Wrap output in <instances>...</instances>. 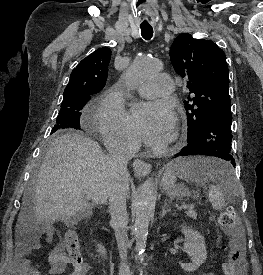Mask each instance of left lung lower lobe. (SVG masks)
I'll use <instances>...</instances> for the list:
<instances>
[{"instance_id":"obj_1","label":"left lung lower lobe","mask_w":263,"mask_h":275,"mask_svg":"<svg viewBox=\"0 0 263 275\" xmlns=\"http://www.w3.org/2000/svg\"><path fill=\"white\" fill-rule=\"evenodd\" d=\"M231 111L220 112L212 116L202 129L193 135H187V145L175 157L188 155L215 156L235 166L231 153Z\"/></svg>"}]
</instances>
